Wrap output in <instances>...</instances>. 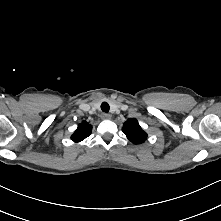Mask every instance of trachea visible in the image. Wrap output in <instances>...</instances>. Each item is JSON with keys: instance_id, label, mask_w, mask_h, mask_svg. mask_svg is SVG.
<instances>
[{"instance_id": "1", "label": "trachea", "mask_w": 221, "mask_h": 221, "mask_svg": "<svg viewBox=\"0 0 221 221\" xmlns=\"http://www.w3.org/2000/svg\"><path fill=\"white\" fill-rule=\"evenodd\" d=\"M109 109H110V107H109V104H108L107 102H103V103L101 104V110H102L103 112L108 113V112H109Z\"/></svg>"}]
</instances>
